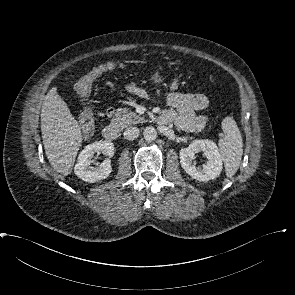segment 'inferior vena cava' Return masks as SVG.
<instances>
[{"label":"inferior vena cava","mask_w":295,"mask_h":295,"mask_svg":"<svg viewBox=\"0 0 295 295\" xmlns=\"http://www.w3.org/2000/svg\"><path fill=\"white\" fill-rule=\"evenodd\" d=\"M139 136V129L137 127H128L124 131V138L127 140H134Z\"/></svg>","instance_id":"602c4592"}]
</instances>
